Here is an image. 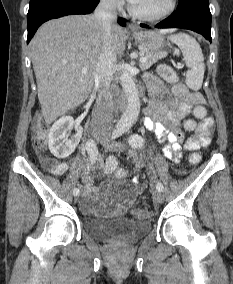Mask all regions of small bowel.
Listing matches in <instances>:
<instances>
[{"label":"small bowel","instance_id":"small-bowel-1","mask_svg":"<svg viewBox=\"0 0 233 284\" xmlns=\"http://www.w3.org/2000/svg\"><path fill=\"white\" fill-rule=\"evenodd\" d=\"M147 81L150 93L156 99L146 110L144 125L159 138L167 141L168 144L163 148V155L169 160L178 162L181 158L182 144L187 151H196L209 145L213 125L210 117L204 118L188 138H185L181 127V122L193 107L204 105L202 94L189 91L182 84L167 88L154 76H149ZM47 167L54 175H63L68 170L69 164L50 160L47 162ZM83 182L87 193H90L93 188L86 173L83 175ZM83 207L87 211L94 207L88 196L83 201Z\"/></svg>","mask_w":233,"mask_h":284}]
</instances>
